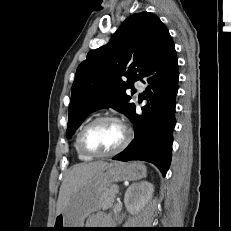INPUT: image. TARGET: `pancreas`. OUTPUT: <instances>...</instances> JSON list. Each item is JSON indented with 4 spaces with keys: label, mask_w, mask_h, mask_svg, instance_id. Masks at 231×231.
Here are the masks:
<instances>
[{
    "label": "pancreas",
    "mask_w": 231,
    "mask_h": 231,
    "mask_svg": "<svg viewBox=\"0 0 231 231\" xmlns=\"http://www.w3.org/2000/svg\"><path fill=\"white\" fill-rule=\"evenodd\" d=\"M118 192L117 186H110L105 190V194L102 198L103 208H109L113 206L115 194Z\"/></svg>",
    "instance_id": "cf45deb5"
}]
</instances>
